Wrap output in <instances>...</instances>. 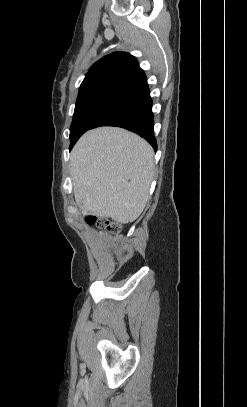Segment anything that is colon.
Wrapping results in <instances>:
<instances>
[{
  "mask_svg": "<svg viewBox=\"0 0 247 407\" xmlns=\"http://www.w3.org/2000/svg\"><path fill=\"white\" fill-rule=\"evenodd\" d=\"M87 222L89 224L97 226L103 232L107 234H117L121 230L120 224L109 219H98L96 217H88Z\"/></svg>",
  "mask_w": 247,
  "mask_h": 407,
  "instance_id": "obj_1",
  "label": "colon"
}]
</instances>
